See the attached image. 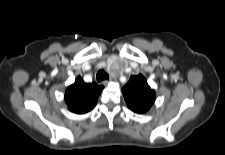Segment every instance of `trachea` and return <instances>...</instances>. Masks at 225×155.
I'll return each instance as SVG.
<instances>
[{
  "mask_svg": "<svg viewBox=\"0 0 225 155\" xmlns=\"http://www.w3.org/2000/svg\"><path fill=\"white\" fill-rule=\"evenodd\" d=\"M97 81L109 80V75L104 70H99L96 75Z\"/></svg>",
  "mask_w": 225,
  "mask_h": 155,
  "instance_id": "3493384b",
  "label": "trachea"
}]
</instances>
